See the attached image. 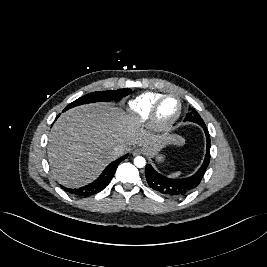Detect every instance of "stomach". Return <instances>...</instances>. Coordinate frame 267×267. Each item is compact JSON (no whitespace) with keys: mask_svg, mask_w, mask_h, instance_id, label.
<instances>
[{"mask_svg":"<svg viewBox=\"0 0 267 267\" xmlns=\"http://www.w3.org/2000/svg\"><path fill=\"white\" fill-rule=\"evenodd\" d=\"M158 161H162L164 157L162 155H158V153L155 154Z\"/></svg>","mask_w":267,"mask_h":267,"instance_id":"stomach-1","label":"stomach"}]
</instances>
